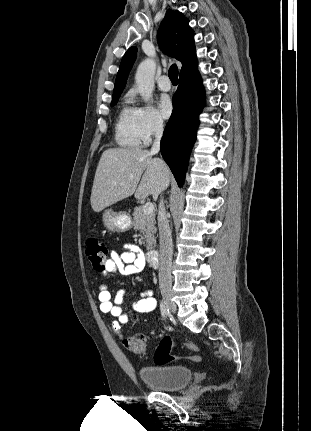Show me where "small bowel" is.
<instances>
[{
    "mask_svg": "<svg viewBox=\"0 0 311 431\" xmlns=\"http://www.w3.org/2000/svg\"><path fill=\"white\" fill-rule=\"evenodd\" d=\"M123 248L125 249L123 252H111L102 272L104 276L112 277L116 273L132 275L145 268V257L137 246L126 244ZM125 293L124 289H120L113 299L105 285H101L99 288L100 310L115 318L112 326L117 333H120L121 326L127 323L134 314L149 313L157 307V300L154 298L152 290L149 289L140 292L139 298L132 303L131 309L125 312L121 306Z\"/></svg>",
    "mask_w": 311,
    "mask_h": 431,
    "instance_id": "small-bowel-1",
    "label": "small bowel"
}]
</instances>
